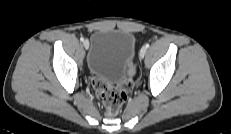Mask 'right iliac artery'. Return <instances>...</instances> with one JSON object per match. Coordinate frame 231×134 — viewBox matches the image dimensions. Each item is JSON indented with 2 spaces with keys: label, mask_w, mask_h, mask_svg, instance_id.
<instances>
[{
  "label": "right iliac artery",
  "mask_w": 231,
  "mask_h": 134,
  "mask_svg": "<svg viewBox=\"0 0 231 134\" xmlns=\"http://www.w3.org/2000/svg\"><path fill=\"white\" fill-rule=\"evenodd\" d=\"M80 40H81V41H84V38H83V37H81V38H80Z\"/></svg>",
  "instance_id": "obj_1"
}]
</instances>
